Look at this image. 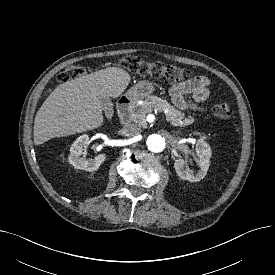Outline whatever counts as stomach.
<instances>
[{
    "mask_svg": "<svg viewBox=\"0 0 275 275\" xmlns=\"http://www.w3.org/2000/svg\"><path fill=\"white\" fill-rule=\"evenodd\" d=\"M154 91V86L149 81H140L132 86L126 96L131 100H140L149 96Z\"/></svg>",
    "mask_w": 275,
    "mask_h": 275,
    "instance_id": "obj_1",
    "label": "stomach"
}]
</instances>
